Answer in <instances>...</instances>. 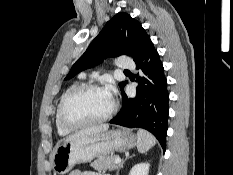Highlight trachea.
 <instances>
[{
  "mask_svg": "<svg viewBox=\"0 0 233 175\" xmlns=\"http://www.w3.org/2000/svg\"><path fill=\"white\" fill-rule=\"evenodd\" d=\"M124 72H129V70H125Z\"/></svg>",
  "mask_w": 233,
  "mask_h": 175,
  "instance_id": "1",
  "label": "trachea"
}]
</instances>
